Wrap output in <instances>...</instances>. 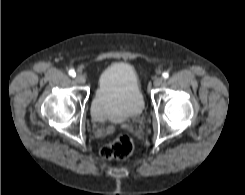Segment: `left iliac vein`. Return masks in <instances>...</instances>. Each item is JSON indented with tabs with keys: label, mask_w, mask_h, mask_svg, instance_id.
I'll list each match as a JSON object with an SVG mask.
<instances>
[{
	"label": "left iliac vein",
	"mask_w": 245,
	"mask_h": 195,
	"mask_svg": "<svg viewBox=\"0 0 245 195\" xmlns=\"http://www.w3.org/2000/svg\"><path fill=\"white\" fill-rule=\"evenodd\" d=\"M162 83H163V77H156V78L154 79V86H155V87L161 86Z\"/></svg>",
	"instance_id": "obj_1"
}]
</instances>
